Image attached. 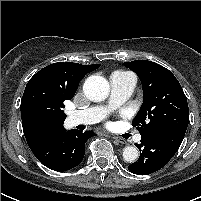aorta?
Segmentation results:
<instances>
[{"mask_svg":"<svg viewBox=\"0 0 201 201\" xmlns=\"http://www.w3.org/2000/svg\"><path fill=\"white\" fill-rule=\"evenodd\" d=\"M83 90L85 95L91 101H103L105 100L110 92V86L108 81L97 75H92L84 82ZM123 159L126 162H135L138 159L139 152L134 146H127L123 149Z\"/></svg>","mask_w":201,"mask_h":201,"instance_id":"762f6f07","label":"aorta"}]
</instances>
